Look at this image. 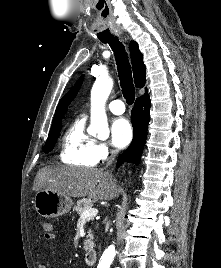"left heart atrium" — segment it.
I'll list each match as a JSON object with an SVG mask.
<instances>
[{
    "label": "left heart atrium",
    "instance_id": "left-heart-atrium-1",
    "mask_svg": "<svg viewBox=\"0 0 221 268\" xmlns=\"http://www.w3.org/2000/svg\"><path fill=\"white\" fill-rule=\"evenodd\" d=\"M133 132L129 121L117 118L111 124V142L117 148L126 147L132 140Z\"/></svg>",
    "mask_w": 221,
    "mask_h": 268
}]
</instances>
